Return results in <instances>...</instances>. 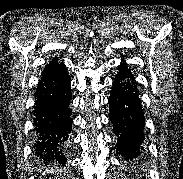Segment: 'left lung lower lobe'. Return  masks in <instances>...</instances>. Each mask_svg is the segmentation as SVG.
Returning <instances> with one entry per match:
<instances>
[{"mask_svg":"<svg viewBox=\"0 0 183 179\" xmlns=\"http://www.w3.org/2000/svg\"><path fill=\"white\" fill-rule=\"evenodd\" d=\"M109 97L110 120L119 153L127 159L139 155L144 142V113L134 77L123 63L115 75Z\"/></svg>","mask_w":183,"mask_h":179,"instance_id":"0a47b994","label":"left lung lower lobe"}]
</instances>
